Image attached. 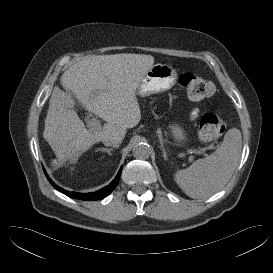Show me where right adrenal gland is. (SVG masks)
Instances as JSON below:
<instances>
[{"label":"right adrenal gland","instance_id":"obj_1","mask_svg":"<svg viewBox=\"0 0 273 273\" xmlns=\"http://www.w3.org/2000/svg\"><path fill=\"white\" fill-rule=\"evenodd\" d=\"M113 148H99L96 151H102V152H106L109 156L111 155V151H113Z\"/></svg>","mask_w":273,"mask_h":273}]
</instances>
